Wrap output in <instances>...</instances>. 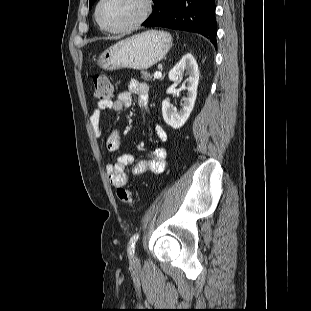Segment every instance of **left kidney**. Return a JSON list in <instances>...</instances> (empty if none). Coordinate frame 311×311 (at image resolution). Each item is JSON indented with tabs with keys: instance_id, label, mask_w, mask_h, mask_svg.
Listing matches in <instances>:
<instances>
[{
	"instance_id": "obj_1",
	"label": "left kidney",
	"mask_w": 311,
	"mask_h": 311,
	"mask_svg": "<svg viewBox=\"0 0 311 311\" xmlns=\"http://www.w3.org/2000/svg\"><path fill=\"white\" fill-rule=\"evenodd\" d=\"M186 72L187 79V97L183 99L184 103L180 111H177L168 99L162 102V115L167 125L174 129L182 127L190 116L197 97V87L199 82V70L196 60L192 54L184 55L180 61L170 70L169 79L177 82L182 74Z\"/></svg>"
}]
</instances>
